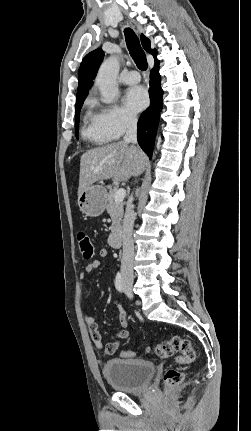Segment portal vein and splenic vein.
Masks as SVG:
<instances>
[{
    "label": "portal vein and splenic vein",
    "mask_w": 251,
    "mask_h": 431,
    "mask_svg": "<svg viewBox=\"0 0 251 431\" xmlns=\"http://www.w3.org/2000/svg\"><path fill=\"white\" fill-rule=\"evenodd\" d=\"M126 196V190L124 188L118 189L114 194L115 202H122Z\"/></svg>",
    "instance_id": "1"
}]
</instances>
